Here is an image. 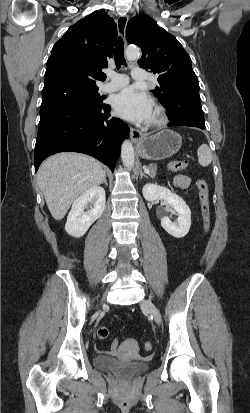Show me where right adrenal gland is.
Wrapping results in <instances>:
<instances>
[{
    "label": "right adrenal gland",
    "instance_id": "1",
    "mask_svg": "<svg viewBox=\"0 0 250 413\" xmlns=\"http://www.w3.org/2000/svg\"><path fill=\"white\" fill-rule=\"evenodd\" d=\"M102 184H105V186H108L107 179H106V174H105V177H104V180H103Z\"/></svg>",
    "mask_w": 250,
    "mask_h": 413
}]
</instances>
